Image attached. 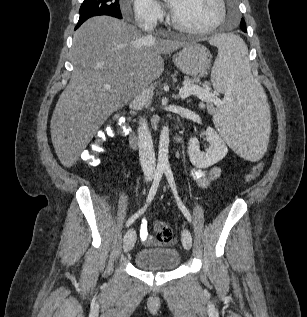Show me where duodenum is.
Masks as SVG:
<instances>
[{
	"label": "duodenum",
	"instance_id": "410a0bca",
	"mask_svg": "<svg viewBox=\"0 0 307 317\" xmlns=\"http://www.w3.org/2000/svg\"><path fill=\"white\" fill-rule=\"evenodd\" d=\"M127 128L129 129V134H128L129 139H130L132 145L136 146L137 141H138V135H137L136 131L131 126L128 125Z\"/></svg>",
	"mask_w": 307,
	"mask_h": 317
}]
</instances>
